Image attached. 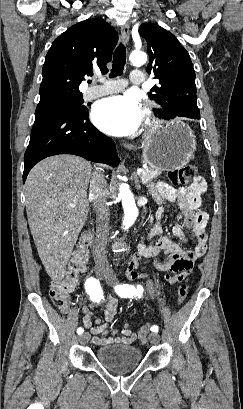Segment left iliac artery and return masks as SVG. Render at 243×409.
I'll use <instances>...</instances> for the list:
<instances>
[{
  "mask_svg": "<svg viewBox=\"0 0 243 409\" xmlns=\"http://www.w3.org/2000/svg\"><path fill=\"white\" fill-rule=\"evenodd\" d=\"M116 293L121 296V297H132L135 295H138L140 297V294L143 292V288L141 286H133L129 284H123V285H117L115 287ZM151 331L154 333H157L159 331V328L157 325H154L151 327Z\"/></svg>",
  "mask_w": 243,
  "mask_h": 409,
  "instance_id": "obj_1",
  "label": "left iliac artery"
}]
</instances>
